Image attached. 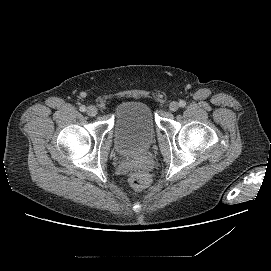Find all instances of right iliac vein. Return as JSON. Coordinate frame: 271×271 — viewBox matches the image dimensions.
<instances>
[{"label": "right iliac vein", "instance_id": "right-iliac-vein-1", "mask_svg": "<svg viewBox=\"0 0 271 271\" xmlns=\"http://www.w3.org/2000/svg\"><path fill=\"white\" fill-rule=\"evenodd\" d=\"M87 114L89 116H95L97 114V108L95 106H89L87 108Z\"/></svg>", "mask_w": 271, "mask_h": 271}]
</instances>
